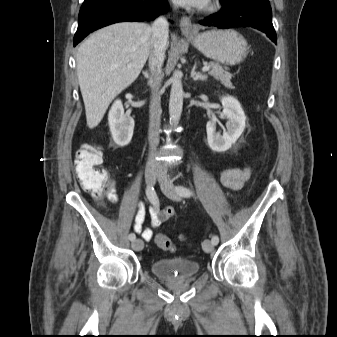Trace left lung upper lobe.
<instances>
[{"label": "left lung upper lobe", "mask_w": 337, "mask_h": 337, "mask_svg": "<svg viewBox=\"0 0 337 337\" xmlns=\"http://www.w3.org/2000/svg\"><path fill=\"white\" fill-rule=\"evenodd\" d=\"M221 2H226V1H228V0H220Z\"/></svg>", "instance_id": "obj_1"}]
</instances>
